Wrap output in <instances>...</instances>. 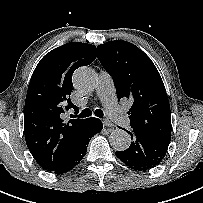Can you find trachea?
I'll list each match as a JSON object with an SVG mask.
<instances>
[{
    "mask_svg": "<svg viewBox=\"0 0 203 203\" xmlns=\"http://www.w3.org/2000/svg\"><path fill=\"white\" fill-rule=\"evenodd\" d=\"M95 116L102 118L104 116L103 111L101 109H96L94 111ZM92 115V111L88 108L84 109L79 115V118H86Z\"/></svg>",
    "mask_w": 203,
    "mask_h": 203,
    "instance_id": "3493384b",
    "label": "trachea"
}]
</instances>
